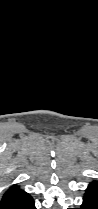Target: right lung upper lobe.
<instances>
[{"label":"right lung upper lobe","instance_id":"obj_1","mask_svg":"<svg viewBox=\"0 0 98 209\" xmlns=\"http://www.w3.org/2000/svg\"><path fill=\"white\" fill-rule=\"evenodd\" d=\"M18 188H19L18 185H12V186H10V187L7 189V191L4 193L3 197L6 196L8 193H11V192L17 190Z\"/></svg>","mask_w":98,"mask_h":209}]
</instances>
